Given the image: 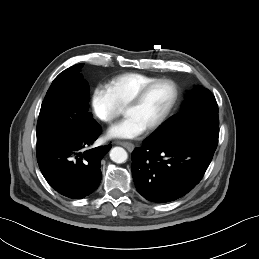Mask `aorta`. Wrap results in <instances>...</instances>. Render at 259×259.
Returning a JSON list of instances; mask_svg holds the SVG:
<instances>
[{
  "mask_svg": "<svg viewBox=\"0 0 259 259\" xmlns=\"http://www.w3.org/2000/svg\"><path fill=\"white\" fill-rule=\"evenodd\" d=\"M110 158L115 163H124L128 158L126 150L122 147H114L110 151Z\"/></svg>",
  "mask_w": 259,
  "mask_h": 259,
  "instance_id": "obj_1",
  "label": "aorta"
}]
</instances>
